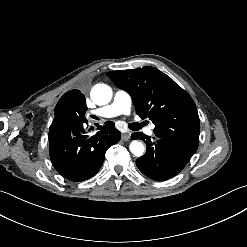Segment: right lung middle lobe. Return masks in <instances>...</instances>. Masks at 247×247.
I'll return each instance as SVG.
<instances>
[{"label": "right lung middle lobe", "mask_w": 247, "mask_h": 247, "mask_svg": "<svg viewBox=\"0 0 247 247\" xmlns=\"http://www.w3.org/2000/svg\"><path fill=\"white\" fill-rule=\"evenodd\" d=\"M86 110L85 97L79 90L65 93L55 107V118L49 133L67 131L84 123Z\"/></svg>", "instance_id": "dd1d6c3e"}]
</instances>
